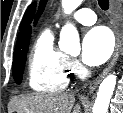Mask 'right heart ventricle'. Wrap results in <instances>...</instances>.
<instances>
[{"label":"right heart ventricle","mask_w":123,"mask_h":113,"mask_svg":"<svg viewBox=\"0 0 123 113\" xmlns=\"http://www.w3.org/2000/svg\"><path fill=\"white\" fill-rule=\"evenodd\" d=\"M69 58L54 44L51 30L42 31L37 37L29 57L28 83L40 93L63 91L69 81Z\"/></svg>","instance_id":"e07e8e85"}]
</instances>
